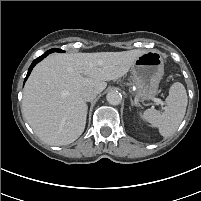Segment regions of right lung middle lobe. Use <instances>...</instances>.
Segmentation results:
<instances>
[{
    "label": "right lung middle lobe",
    "instance_id": "dd1d6c3e",
    "mask_svg": "<svg viewBox=\"0 0 201 201\" xmlns=\"http://www.w3.org/2000/svg\"><path fill=\"white\" fill-rule=\"evenodd\" d=\"M54 51L63 52L62 50H59V49H51V50H50V53H52V52H54Z\"/></svg>",
    "mask_w": 201,
    "mask_h": 201
}]
</instances>
